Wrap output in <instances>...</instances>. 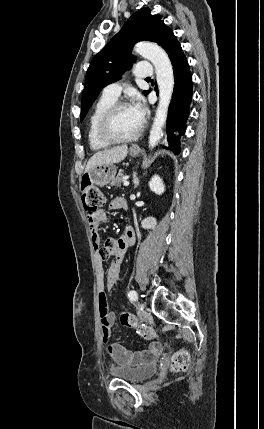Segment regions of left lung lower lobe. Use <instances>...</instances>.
<instances>
[{
    "instance_id": "obj_1",
    "label": "left lung lower lobe",
    "mask_w": 264,
    "mask_h": 429,
    "mask_svg": "<svg viewBox=\"0 0 264 429\" xmlns=\"http://www.w3.org/2000/svg\"><path fill=\"white\" fill-rule=\"evenodd\" d=\"M161 47L169 55L175 80L167 119L168 146L164 148L172 150L175 154H179L180 137L186 130V121L189 116L192 100V76L180 43L172 31H169L165 35Z\"/></svg>"
}]
</instances>
